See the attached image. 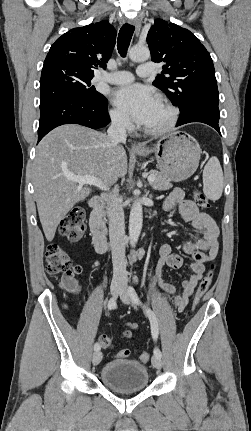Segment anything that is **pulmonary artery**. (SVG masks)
Segmentation results:
<instances>
[{
    "label": "pulmonary artery",
    "mask_w": 251,
    "mask_h": 431,
    "mask_svg": "<svg viewBox=\"0 0 251 431\" xmlns=\"http://www.w3.org/2000/svg\"><path fill=\"white\" fill-rule=\"evenodd\" d=\"M153 71V65L151 63L141 64L137 68V75L140 77L149 76ZM102 78L111 84H127L134 80V76L128 71H114L105 73Z\"/></svg>",
    "instance_id": "1"
}]
</instances>
